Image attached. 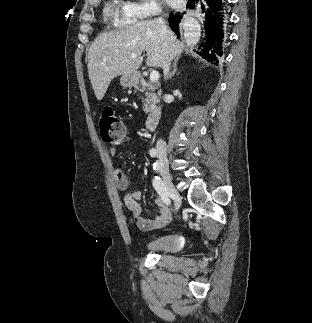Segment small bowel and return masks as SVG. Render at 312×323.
I'll return each instance as SVG.
<instances>
[{
  "instance_id": "1",
  "label": "small bowel",
  "mask_w": 312,
  "mask_h": 323,
  "mask_svg": "<svg viewBox=\"0 0 312 323\" xmlns=\"http://www.w3.org/2000/svg\"><path fill=\"white\" fill-rule=\"evenodd\" d=\"M117 148L112 146L109 149L110 155H115ZM113 176L117 187L123 192V202L132 215V220L139 230L143 232H152L160 229L170 223L172 219V210L160 199L157 200L159 206V215L154 218H145L142 216V208L139 204L141 193L139 191H129V179L127 175L119 168L113 169Z\"/></svg>"
}]
</instances>
